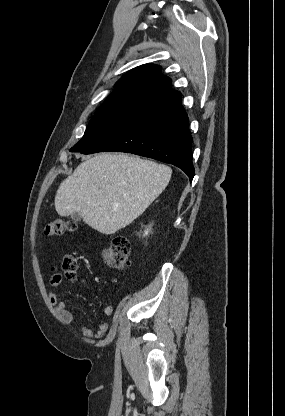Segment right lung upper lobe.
I'll return each instance as SVG.
<instances>
[{"mask_svg":"<svg viewBox=\"0 0 285 416\" xmlns=\"http://www.w3.org/2000/svg\"><path fill=\"white\" fill-rule=\"evenodd\" d=\"M120 95H133L156 103L162 109L181 104V94L171 89V79L153 64H144L127 72L115 84V90L108 98Z\"/></svg>","mask_w":285,"mask_h":416,"instance_id":"1","label":"right lung upper lobe"}]
</instances>
